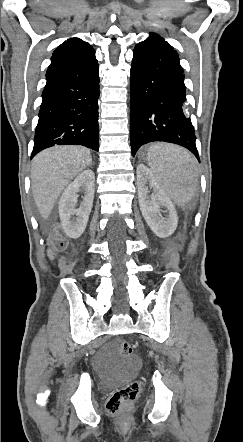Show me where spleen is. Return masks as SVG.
Returning <instances> with one entry per match:
<instances>
[{
	"instance_id": "obj_1",
	"label": "spleen",
	"mask_w": 243,
	"mask_h": 442,
	"mask_svg": "<svg viewBox=\"0 0 243 442\" xmlns=\"http://www.w3.org/2000/svg\"><path fill=\"white\" fill-rule=\"evenodd\" d=\"M147 163L161 189L175 200V209H188L195 178V159L184 149L168 144L149 147Z\"/></svg>"
}]
</instances>
